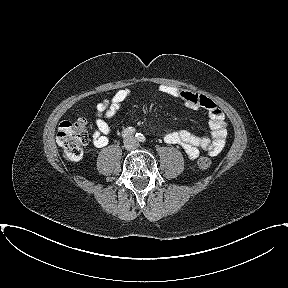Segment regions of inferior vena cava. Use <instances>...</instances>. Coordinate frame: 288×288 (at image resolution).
<instances>
[{
    "label": "inferior vena cava",
    "instance_id": "inferior-vena-cava-1",
    "mask_svg": "<svg viewBox=\"0 0 288 288\" xmlns=\"http://www.w3.org/2000/svg\"><path fill=\"white\" fill-rule=\"evenodd\" d=\"M138 146V144L136 143V141H133V143L132 144H129V149H134V148H136Z\"/></svg>",
    "mask_w": 288,
    "mask_h": 288
}]
</instances>
